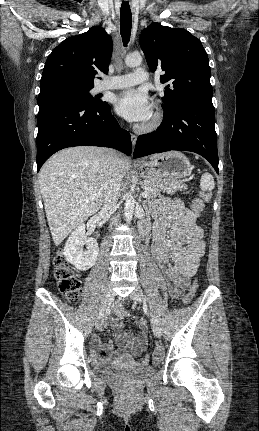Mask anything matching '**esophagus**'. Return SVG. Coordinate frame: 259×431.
Masks as SVG:
<instances>
[{
    "label": "esophagus",
    "mask_w": 259,
    "mask_h": 431,
    "mask_svg": "<svg viewBox=\"0 0 259 431\" xmlns=\"http://www.w3.org/2000/svg\"><path fill=\"white\" fill-rule=\"evenodd\" d=\"M136 140H137V137H136L134 134H131V142H132V147H133V149H134V147H135Z\"/></svg>",
    "instance_id": "34e87169"
}]
</instances>
